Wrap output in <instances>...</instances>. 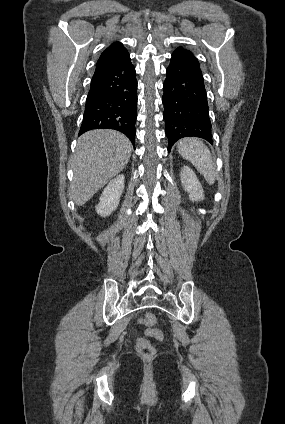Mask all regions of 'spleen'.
<instances>
[{"mask_svg":"<svg viewBox=\"0 0 285 424\" xmlns=\"http://www.w3.org/2000/svg\"><path fill=\"white\" fill-rule=\"evenodd\" d=\"M179 154L190 161L203 174L210 185L216 180V167L210 150L204 143L195 137L183 138L177 143Z\"/></svg>","mask_w":285,"mask_h":424,"instance_id":"3e777b00","label":"spleen"}]
</instances>
